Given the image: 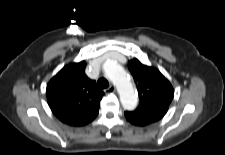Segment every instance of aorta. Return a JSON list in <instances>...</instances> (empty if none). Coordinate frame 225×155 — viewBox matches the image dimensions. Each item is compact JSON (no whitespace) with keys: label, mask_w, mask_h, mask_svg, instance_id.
<instances>
[{"label":"aorta","mask_w":225,"mask_h":155,"mask_svg":"<svg viewBox=\"0 0 225 155\" xmlns=\"http://www.w3.org/2000/svg\"><path fill=\"white\" fill-rule=\"evenodd\" d=\"M103 70L106 77L115 84L124 109L133 110L137 106L138 99L124 69L116 61L107 60L103 64Z\"/></svg>","instance_id":"aorta-1"}]
</instances>
